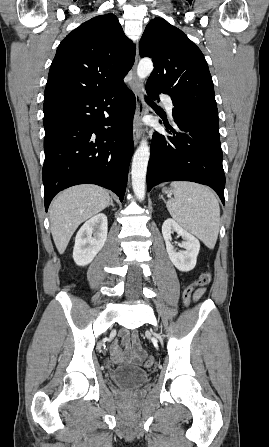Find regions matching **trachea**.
<instances>
[{"label":"trachea","mask_w":269,"mask_h":447,"mask_svg":"<svg viewBox=\"0 0 269 447\" xmlns=\"http://www.w3.org/2000/svg\"><path fill=\"white\" fill-rule=\"evenodd\" d=\"M147 102L151 103L152 105H155L154 103H152L148 98H147Z\"/></svg>","instance_id":"trachea-1"}]
</instances>
